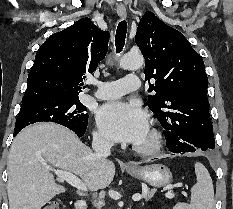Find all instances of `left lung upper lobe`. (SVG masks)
<instances>
[{
	"label": "left lung upper lobe",
	"mask_w": 233,
	"mask_h": 209,
	"mask_svg": "<svg viewBox=\"0 0 233 209\" xmlns=\"http://www.w3.org/2000/svg\"><path fill=\"white\" fill-rule=\"evenodd\" d=\"M145 58L149 84L148 107L165 130L199 146H215L207 99L208 78L201 56L184 35L152 12L141 18L135 37Z\"/></svg>",
	"instance_id": "5c2ea615"
}]
</instances>
